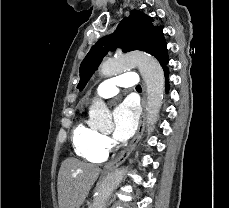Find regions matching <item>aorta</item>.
I'll list each match as a JSON object with an SVG mask.
<instances>
[{
    "instance_id": "aorta-1",
    "label": "aorta",
    "mask_w": 229,
    "mask_h": 208,
    "mask_svg": "<svg viewBox=\"0 0 229 208\" xmlns=\"http://www.w3.org/2000/svg\"><path fill=\"white\" fill-rule=\"evenodd\" d=\"M137 66L147 89V127L148 131L156 123L164 95V72L159 62L144 53H130L120 58L103 61L99 67L105 77L119 74ZM90 124L93 128L104 130L112 125V116L106 104L95 99L89 110ZM126 168L116 169L105 177L100 184L93 203V208H106L109 197L118 187L126 174Z\"/></svg>"
}]
</instances>
